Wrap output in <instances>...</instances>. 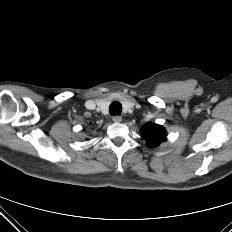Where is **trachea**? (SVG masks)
Here are the masks:
<instances>
[{
	"label": "trachea",
	"mask_w": 232,
	"mask_h": 232,
	"mask_svg": "<svg viewBox=\"0 0 232 232\" xmlns=\"http://www.w3.org/2000/svg\"><path fill=\"white\" fill-rule=\"evenodd\" d=\"M121 111H122V105L119 102L115 101L110 104V107H109L110 115L112 116L120 115Z\"/></svg>",
	"instance_id": "trachea-1"
}]
</instances>
